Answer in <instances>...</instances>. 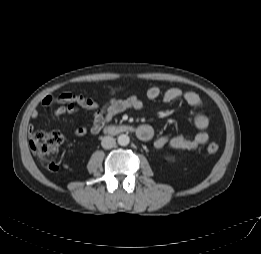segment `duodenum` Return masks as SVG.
<instances>
[{
    "label": "duodenum",
    "mask_w": 261,
    "mask_h": 254,
    "mask_svg": "<svg viewBox=\"0 0 261 254\" xmlns=\"http://www.w3.org/2000/svg\"><path fill=\"white\" fill-rule=\"evenodd\" d=\"M105 131L109 134H115L119 132H131L133 131V127L129 125H108L105 127Z\"/></svg>",
    "instance_id": "duodenum-1"
}]
</instances>
